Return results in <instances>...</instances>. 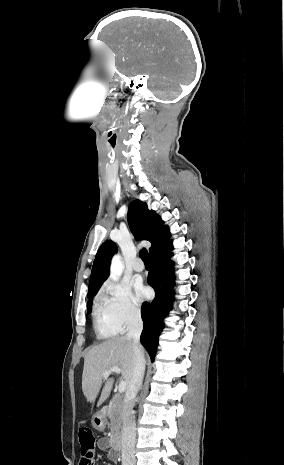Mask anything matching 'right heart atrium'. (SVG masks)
Wrapping results in <instances>:
<instances>
[{
  "instance_id": "right-heart-atrium-1",
  "label": "right heart atrium",
  "mask_w": 284,
  "mask_h": 465,
  "mask_svg": "<svg viewBox=\"0 0 284 465\" xmlns=\"http://www.w3.org/2000/svg\"><path fill=\"white\" fill-rule=\"evenodd\" d=\"M96 302L106 309L120 331L131 328L141 320L142 310L133 301L129 288L116 280L110 279L101 286Z\"/></svg>"
}]
</instances>
